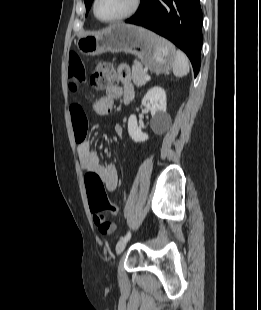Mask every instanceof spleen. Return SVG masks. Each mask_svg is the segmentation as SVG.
Masks as SVG:
<instances>
[{"label":"spleen","mask_w":261,"mask_h":310,"mask_svg":"<svg viewBox=\"0 0 261 310\" xmlns=\"http://www.w3.org/2000/svg\"><path fill=\"white\" fill-rule=\"evenodd\" d=\"M189 61L186 55L180 51H176L175 61L173 64V73L176 77H183L189 73Z\"/></svg>","instance_id":"3e777b00"}]
</instances>
